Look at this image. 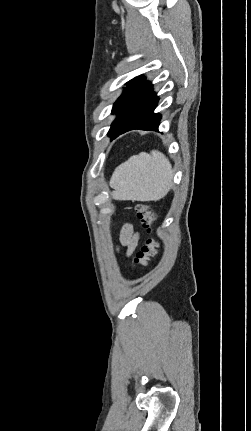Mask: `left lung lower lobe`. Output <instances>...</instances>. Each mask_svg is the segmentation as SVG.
<instances>
[{"instance_id": "obj_1", "label": "left lung lower lobe", "mask_w": 251, "mask_h": 431, "mask_svg": "<svg viewBox=\"0 0 251 431\" xmlns=\"http://www.w3.org/2000/svg\"><path fill=\"white\" fill-rule=\"evenodd\" d=\"M157 103L158 97L152 89V84L146 81L111 134V138L114 139L133 129L158 131L161 115L153 113Z\"/></svg>"}]
</instances>
